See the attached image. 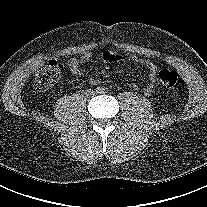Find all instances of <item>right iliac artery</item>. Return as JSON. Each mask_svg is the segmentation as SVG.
Here are the masks:
<instances>
[{"label": "right iliac artery", "instance_id": "1", "mask_svg": "<svg viewBox=\"0 0 207 207\" xmlns=\"http://www.w3.org/2000/svg\"><path fill=\"white\" fill-rule=\"evenodd\" d=\"M102 91H103V88H102V87H97V88H96V92H97V93H101Z\"/></svg>", "mask_w": 207, "mask_h": 207}]
</instances>
